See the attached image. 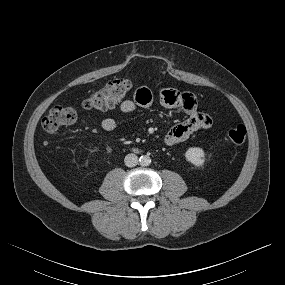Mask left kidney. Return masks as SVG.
<instances>
[{
  "instance_id": "1",
  "label": "left kidney",
  "mask_w": 285,
  "mask_h": 285,
  "mask_svg": "<svg viewBox=\"0 0 285 285\" xmlns=\"http://www.w3.org/2000/svg\"><path fill=\"white\" fill-rule=\"evenodd\" d=\"M186 160L192 163L193 165L199 167L204 165L205 162V153L203 149L199 147H191L185 152Z\"/></svg>"
}]
</instances>
